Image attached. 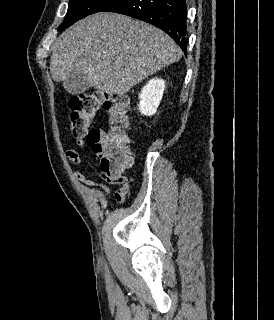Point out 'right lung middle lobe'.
<instances>
[{
    "label": "right lung middle lobe",
    "mask_w": 274,
    "mask_h": 320,
    "mask_svg": "<svg viewBox=\"0 0 274 320\" xmlns=\"http://www.w3.org/2000/svg\"><path fill=\"white\" fill-rule=\"evenodd\" d=\"M116 0H70L68 11L59 30L71 26L76 21L93 13L101 12Z\"/></svg>",
    "instance_id": "1"
}]
</instances>
